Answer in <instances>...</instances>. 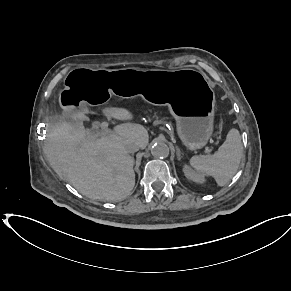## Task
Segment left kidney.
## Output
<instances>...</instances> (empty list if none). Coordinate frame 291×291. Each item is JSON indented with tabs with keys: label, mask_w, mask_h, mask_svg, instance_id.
I'll return each mask as SVG.
<instances>
[{
	"label": "left kidney",
	"mask_w": 291,
	"mask_h": 291,
	"mask_svg": "<svg viewBox=\"0 0 291 291\" xmlns=\"http://www.w3.org/2000/svg\"><path fill=\"white\" fill-rule=\"evenodd\" d=\"M183 172L186 178L196 183H203L205 181L204 177L201 174L193 171L188 165H185L183 167Z\"/></svg>",
	"instance_id": "1"
}]
</instances>
